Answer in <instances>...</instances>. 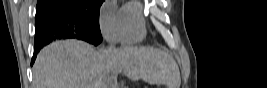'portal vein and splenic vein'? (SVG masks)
Here are the masks:
<instances>
[{
	"mask_svg": "<svg viewBox=\"0 0 267 88\" xmlns=\"http://www.w3.org/2000/svg\"><path fill=\"white\" fill-rule=\"evenodd\" d=\"M119 71L118 70H113L112 71V77L111 78H108L107 76H105V77H99V79L100 80H102V79H104V80H107V79H109L110 80V88H117V85H116V83H115V81H114V79L117 77V73H118ZM98 88H107V86H103V85H101V84H99V86H97Z\"/></svg>",
	"mask_w": 267,
	"mask_h": 88,
	"instance_id": "portal-vein-and-splenic-vein-1",
	"label": "portal vein and splenic vein"
}]
</instances>
